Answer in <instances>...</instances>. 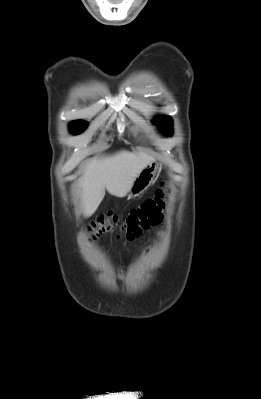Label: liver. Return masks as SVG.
I'll return each instance as SVG.
<instances>
[{
  "instance_id": "1",
  "label": "liver",
  "mask_w": 261,
  "mask_h": 399,
  "mask_svg": "<svg viewBox=\"0 0 261 399\" xmlns=\"http://www.w3.org/2000/svg\"><path fill=\"white\" fill-rule=\"evenodd\" d=\"M154 161V157L146 153L126 150L89 160L79 180L84 216L95 213L106 190L116 197L126 196L139 173Z\"/></svg>"
}]
</instances>
